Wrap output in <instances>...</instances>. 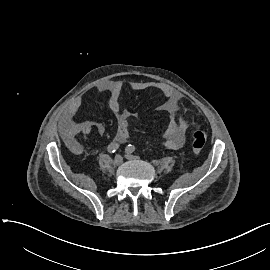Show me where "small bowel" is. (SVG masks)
Segmentation results:
<instances>
[{
  "label": "small bowel",
  "instance_id": "obj_1",
  "mask_svg": "<svg viewBox=\"0 0 270 270\" xmlns=\"http://www.w3.org/2000/svg\"><path fill=\"white\" fill-rule=\"evenodd\" d=\"M131 89L136 91L154 89L165 96L166 101L159 107L160 111L169 114L168 124L162 135L163 145L171 150L180 149L185 141L189 120L185 115L176 119L173 114L182 109V95L164 83L153 81L133 83ZM122 90L123 83L120 81H108L98 88L99 92L108 94L107 106L116 119L115 141L118 143H123L129 138V120L131 118V113L121 108L120 95ZM81 102V98H77L67 110L62 129L63 135L67 139H73L77 134L88 135L93 129L98 134L104 135L106 127L102 122L77 118Z\"/></svg>",
  "mask_w": 270,
  "mask_h": 270
}]
</instances>
